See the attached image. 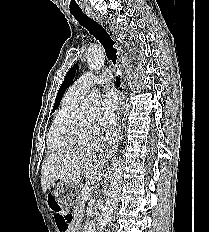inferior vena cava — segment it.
Instances as JSON below:
<instances>
[{"label": "inferior vena cava", "instance_id": "602c4592", "mask_svg": "<svg viewBox=\"0 0 209 232\" xmlns=\"http://www.w3.org/2000/svg\"><path fill=\"white\" fill-rule=\"evenodd\" d=\"M110 137H111V130L106 133V138L110 139Z\"/></svg>", "mask_w": 209, "mask_h": 232}]
</instances>
